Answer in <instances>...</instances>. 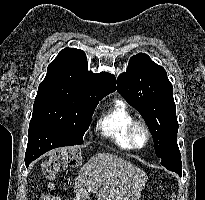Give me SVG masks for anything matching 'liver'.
<instances>
[{
	"label": "liver",
	"instance_id": "liver-1",
	"mask_svg": "<svg viewBox=\"0 0 205 200\" xmlns=\"http://www.w3.org/2000/svg\"><path fill=\"white\" fill-rule=\"evenodd\" d=\"M146 180L145 172L131 162L100 152L80 169L74 184V200L85 198L88 193L96 194L98 200H138ZM41 200L61 199L48 194Z\"/></svg>",
	"mask_w": 205,
	"mask_h": 200
}]
</instances>
